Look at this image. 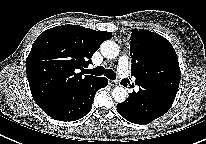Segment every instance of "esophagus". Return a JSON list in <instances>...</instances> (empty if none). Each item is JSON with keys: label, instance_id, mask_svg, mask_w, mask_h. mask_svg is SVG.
Here are the masks:
<instances>
[{"label": "esophagus", "instance_id": "1", "mask_svg": "<svg viewBox=\"0 0 206 144\" xmlns=\"http://www.w3.org/2000/svg\"><path fill=\"white\" fill-rule=\"evenodd\" d=\"M109 84L112 86V87H115L118 85V82L116 80H110L109 81Z\"/></svg>", "mask_w": 206, "mask_h": 144}]
</instances>
